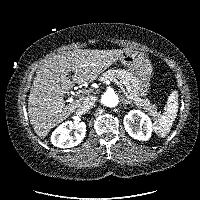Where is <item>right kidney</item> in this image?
<instances>
[{"mask_svg":"<svg viewBox=\"0 0 200 200\" xmlns=\"http://www.w3.org/2000/svg\"><path fill=\"white\" fill-rule=\"evenodd\" d=\"M76 129L74 135H70L72 129ZM86 134L85 122L66 121L58 126L51 136V143L59 148H71L77 146Z\"/></svg>","mask_w":200,"mask_h":200,"instance_id":"1","label":"right kidney"}]
</instances>
